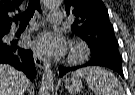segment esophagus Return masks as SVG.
I'll return each instance as SVG.
<instances>
[{"mask_svg": "<svg viewBox=\"0 0 135 95\" xmlns=\"http://www.w3.org/2000/svg\"><path fill=\"white\" fill-rule=\"evenodd\" d=\"M33 57L36 66H38L40 69H47L50 67V64L48 63L47 59L42 55H39L34 52Z\"/></svg>", "mask_w": 135, "mask_h": 95, "instance_id": "esophagus-1", "label": "esophagus"}]
</instances>
